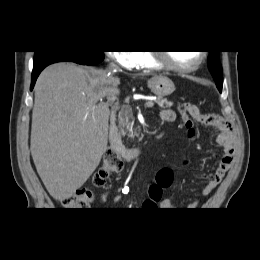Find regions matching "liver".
Wrapping results in <instances>:
<instances>
[{
    "mask_svg": "<svg viewBox=\"0 0 260 260\" xmlns=\"http://www.w3.org/2000/svg\"><path fill=\"white\" fill-rule=\"evenodd\" d=\"M119 85L102 69L55 63L35 84L31 155L49 194L62 201L83 186L108 143L109 108L100 102Z\"/></svg>",
    "mask_w": 260,
    "mask_h": 260,
    "instance_id": "6515ba94",
    "label": "liver"
}]
</instances>
